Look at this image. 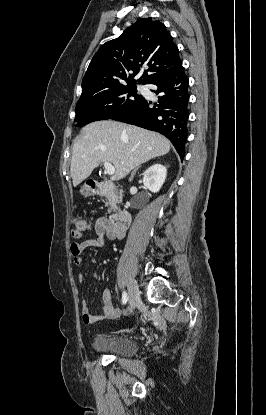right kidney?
Instances as JSON below:
<instances>
[{"instance_id": "right-kidney-1", "label": "right kidney", "mask_w": 266, "mask_h": 415, "mask_svg": "<svg viewBox=\"0 0 266 415\" xmlns=\"http://www.w3.org/2000/svg\"><path fill=\"white\" fill-rule=\"evenodd\" d=\"M167 169L161 164H154L143 174V184L151 192L157 193L165 182Z\"/></svg>"}]
</instances>
